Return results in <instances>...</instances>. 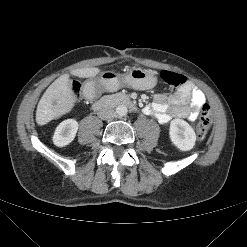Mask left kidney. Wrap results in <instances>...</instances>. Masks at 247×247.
<instances>
[{
  "label": "left kidney",
  "instance_id": "1",
  "mask_svg": "<svg viewBox=\"0 0 247 247\" xmlns=\"http://www.w3.org/2000/svg\"><path fill=\"white\" fill-rule=\"evenodd\" d=\"M169 136L171 142L181 151H189L195 145V131L182 119H173L170 122Z\"/></svg>",
  "mask_w": 247,
  "mask_h": 247
}]
</instances>
